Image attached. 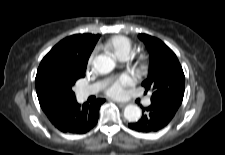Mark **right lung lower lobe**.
I'll list each match as a JSON object with an SVG mask.
<instances>
[{
	"mask_svg": "<svg viewBox=\"0 0 225 155\" xmlns=\"http://www.w3.org/2000/svg\"><path fill=\"white\" fill-rule=\"evenodd\" d=\"M105 99L91 105H79L76 99L64 102L46 113L51 123L62 132L83 134L98 121L99 108Z\"/></svg>",
	"mask_w": 225,
	"mask_h": 155,
	"instance_id": "obj_1",
	"label": "right lung lower lobe"
}]
</instances>
